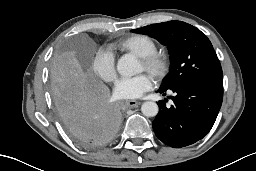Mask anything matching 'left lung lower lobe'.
I'll return each instance as SVG.
<instances>
[{
  "label": "left lung lower lobe",
  "instance_id": "0a47b994",
  "mask_svg": "<svg viewBox=\"0 0 256 171\" xmlns=\"http://www.w3.org/2000/svg\"><path fill=\"white\" fill-rule=\"evenodd\" d=\"M170 90L174 104L167 108L164 101H159V113L152 127L163 143L181 148L197 142L211 130L222 104L223 82L191 80ZM166 91L158 90L163 95Z\"/></svg>",
  "mask_w": 256,
  "mask_h": 171
}]
</instances>
